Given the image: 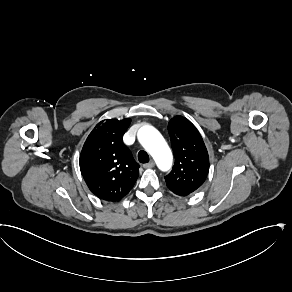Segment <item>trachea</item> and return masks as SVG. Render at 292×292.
<instances>
[{
    "mask_svg": "<svg viewBox=\"0 0 292 292\" xmlns=\"http://www.w3.org/2000/svg\"><path fill=\"white\" fill-rule=\"evenodd\" d=\"M138 160L140 163H143V164L148 163L150 160L148 153L144 150L139 151Z\"/></svg>",
    "mask_w": 292,
    "mask_h": 292,
    "instance_id": "3493384b",
    "label": "trachea"
}]
</instances>
